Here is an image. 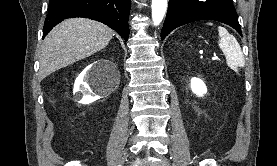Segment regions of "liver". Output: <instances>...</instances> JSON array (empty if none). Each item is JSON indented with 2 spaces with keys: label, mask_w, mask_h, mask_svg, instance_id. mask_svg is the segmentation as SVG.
<instances>
[{
  "label": "liver",
  "mask_w": 277,
  "mask_h": 166,
  "mask_svg": "<svg viewBox=\"0 0 277 166\" xmlns=\"http://www.w3.org/2000/svg\"><path fill=\"white\" fill-rule=\"evenodd\" d=\"M113 35L112 29L98 21L84 18L63 21L43 41L40 79L102 50Z\"/></svg>",
  "instance_id": "1"
}]
</instances>
